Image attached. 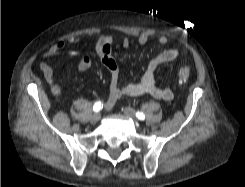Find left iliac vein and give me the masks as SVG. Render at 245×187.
<instances>
[{"instance_id": "left-iliac-vein-1", "label": "left iliac vein", "mask_w": 245, "mask_h": 187, "mask_svg": "<svg viewBox=\"0 0 245 187\" xmlns=\"http://www.w3.org/2000/svg\"><path fill=\"white\" fill-rule=\"evenodd\" d=\"M124 114H125L126 116L132 118L133 120L137 121L135 111H134V109H132L131 107H126V108L124 109Z\"/></svg>"}]
</instances>
